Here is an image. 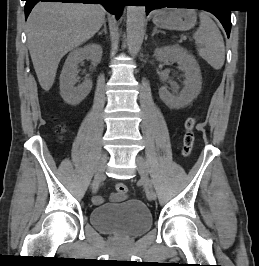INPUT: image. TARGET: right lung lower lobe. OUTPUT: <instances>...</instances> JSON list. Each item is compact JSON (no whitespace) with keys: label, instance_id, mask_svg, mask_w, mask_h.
Returning <instances> with one entry per match:
<instances>
[{"label":"right lung lower lobe","instance_id":"right-lung-lower-lobe-1","mask_svg":"<svg viewBox=\"0 0 259 266\" xmlns=\"http://www.w3.org/2000/svg\"><path fill=\"white\" fill-rule=\"evenodd\" d=\"M25 18L27 19L29 13L36 3L42 2H62V3H84V4H102L112 14L117 16V19L122 14L124 5L128 2L127 0H25Z\"/></svg>","mask_w":259,"mask_h":266}]
</instances>
